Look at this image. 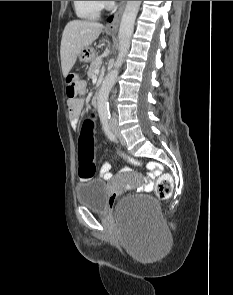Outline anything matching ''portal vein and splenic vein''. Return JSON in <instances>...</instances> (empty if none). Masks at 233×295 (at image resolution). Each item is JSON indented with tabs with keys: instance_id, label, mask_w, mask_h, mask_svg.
I'll list each match as a JSON object with an SVG mask.
<instances>
[{
	"instance_id": "18ae733b",
	"label": "portal vein and splenic vein",
	"mask_w": 233,
	"mask_h": 295,
	"mask_svg": "<svg viewBox=\"0 0 233 295\" xmlns=\"http://www.w3.org/2000/svg\"><path fill=\"white\" fill-rule=\"evenodd\" d=\"M99 72H100V70L99 69H96L95 73L98 74Z\"/></svg>"
}]
</instances>
